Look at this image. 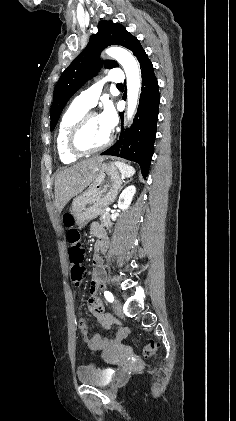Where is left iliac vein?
<instances>
[{
	"instance_id": "1",
	"label": "left iliac vein",
	"mask_w": 236,
	"mask_h": 421,
	"mask_svg": "<svg viewBox=\"0 0 236 421\" xmlns=\"http://www.w3.org/2000/svg\"><path fill=\"white\" fill-rule=\"evenodd\" d=\"M112 307L117 315H120L122 313V305L119 299L114 300Z\"/></svg>"
}]
</instances>
